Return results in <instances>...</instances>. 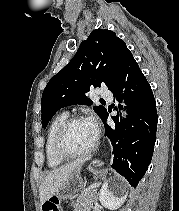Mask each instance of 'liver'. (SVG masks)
I'll return each instance as SVG.
<instances>
[{
	"mask_svg": "<svg viewBox=\"0 0 179 211\" xmlns=\"http://www.w3.org/2000/svg\"><path fill=\"white\" fill-rule=\"evenodd\" d=\"M84 161V159L76 160L72 163L52 170L47 174V176L42 180L39 187V197L41 205L59 191V189L68 179L70 174L75 170L80 169Z\"/></svg>",
	"mask_w": 179,
	"mask_h": 211,
	"instance_id": "1",
	"label": "liver"
}]
</instances>
